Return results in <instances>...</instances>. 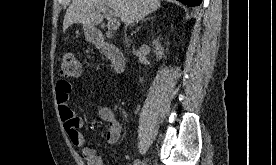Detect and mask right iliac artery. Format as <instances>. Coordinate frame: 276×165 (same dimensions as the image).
<instances>
[{"label": "right iliac artery", "instance_id": "1", "mask_svg": "<svg viewBox=\"0 0 276 165\" xmlns=\"http://www.w3.org/2000/svg\"><path fill=\"white\" fill-rule=\"evenodd\" d=\"M139 163H140V160L137 159V160H135V162L133 163V165H139Z\"/></svg>", "mask_w": 276, "mask_h": 165}]
</instances>
